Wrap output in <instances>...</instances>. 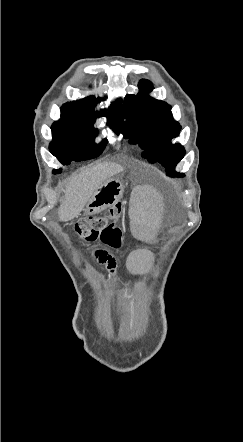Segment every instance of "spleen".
<instances>
[{
    "label": "spleen",
    "mask_w": 243,
    "mask_h": 442,
    "mask_svg": "<svg viewBox=\"0 0 243 442\" xmlns=\"http://www.w3.org/2000/svg\"><path fill=\"white\" fill-rule=\"evenodd\" d=\"M153 191V183H138L134 193L126 194V201L132 202L130 214L131 219H135L134 235L139 237L140 242H152L153 231H158L160 226V217H158L161 207L160 193H151ZM135 266L140 268L141 274H148L149 268L154 266V255L142 254L141 259H136ZM139 293L143 294L144 290L140 289Z\"/></svg>",
    "instance_id": "3e777b00"
}]
</instances>
